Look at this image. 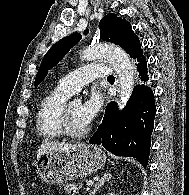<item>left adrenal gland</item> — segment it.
Here are the masks:
<instances>
[{
	"label": "left adrenal gland",
	"instance_id": "a2214340",
	"mask_svg": "<svg viewBox=\"0 0 189 195\" xmlns=\"http://www.w3.org/2000/svg\"><path fill=\"white\" fill-rule=\"evenodd\" d=\"M112 175L109 172H105L102 177L96 182L91 193L89 195H95L97 190L105 184V182L111 179Z\"/></svg>",
	"mask_w": 189,
	"mask_h": 195
}]
</instances>
